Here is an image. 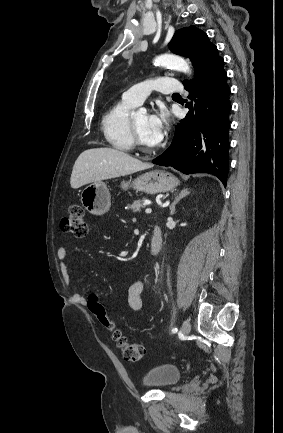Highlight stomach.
Returning a JSON list of instances; mask_svg holds the SVG:
<instances>
[{
    "label": "stomach",
    "instance_id": "0dacf381",
    "mask_svg": "<svg viewBox=\"0 0 283 433\" xmlns=\"http://www.w3.org/2000/svg\"><path fill=\"white\" fill-rule=\"evenodd\" d=\"M178 180L165 170H151L140 174L132 182H122V188L133 186L136 190H143L147 194H156V192H168L177 186ZM81 202L91 214H104L110 208V192L102 180H95L88 184L81 192Z\"/></svg>",
    "mask_w": 283,
    "mask_h": 433
}]
</instances>
